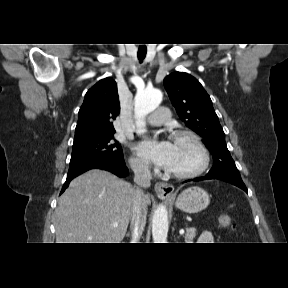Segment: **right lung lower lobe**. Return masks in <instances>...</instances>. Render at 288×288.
Listing matches in <instances>:
<instances>
[{
  "instance_id": "1",
  "label": "right lung lower lobe",
  "mask_w": 288,
  "mask_h": 288,
  "mask_svg": "<svg viewBox=\"0 0 288 288\" xmlns=\"http://www.w3.org/2000/svg\"><path fill=\"white\" fill-rule=\"evenodd\" d=\"M103 169L108 170L119 177H125L128 169L123 161H114L106 157H91L80 160L76 163H70V168L67 174L66 181L63 185L61 193L68 187L70 181L76 176L90 169Z\"/></svg>"
}]
</instances>
